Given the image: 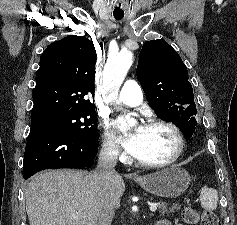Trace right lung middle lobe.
<instances>
[{
  "instance_id": "1",
  "label": "right lung middle lobe",
  "mask_w": 237,
  "mask_h": 225,
  "mask_svg": "<svg viewBox=\"0 0 237 225\" xmlns=\"http://www.w3.org/2000/svg\"><path fill=\"white\" fill-rule=\"evenodd\" d=\"M96 123L93 109H85L31 122V128L63 132L84 140H98Z\"/></svg>"
}]
</instances>
